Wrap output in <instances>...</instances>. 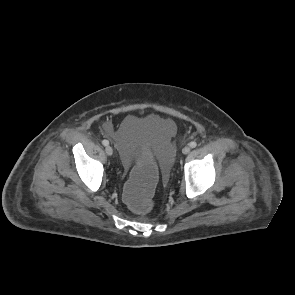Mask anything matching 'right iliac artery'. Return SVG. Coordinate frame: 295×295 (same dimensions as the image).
Returning a JSON list of instances; mask_svg holds the SVG:
<instances>
[{
	"instance_id": "82829eb1",
	"label": "right iliac artery",
	"mask_w": 295,
	"mask_h": 295,
	"mask_svg": "<svg viewBox=\"0 0 295 295\" xmlns=\"http://www.w3.org/2000/svg\"><path fill=\"white\" fill-rule=\"evenodd\" d=\"M102 144H103L104 146H107V145L109 144V141H108V140H103V141H102Z\"/></svg>"
}]
</instances>
